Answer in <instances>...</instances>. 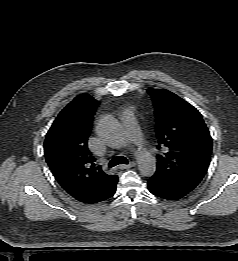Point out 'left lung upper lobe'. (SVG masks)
<instances>
[{"mask_svg":"<svg viewBox=\"0 0 238 261\" xmlns=\"http://www.w3.org/2000/svg\"><path fill=\"white\" fill-rule=\"evenodd\" d=\"M156 118L158 155L154 175L189 193L200 183L211 161L212 138L202 115L165 89H149Z\"/></svg>","mask_w":238,"mask_h":261,"instance_id":"left-lung-upper-lobe-1","label":"left lung upper lobe"}]
</instances>
